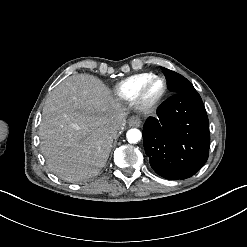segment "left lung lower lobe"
Instances as JSON below:
<instances>
[{"mask_svg":"<svg viewBox=\"0 0 247 247\" xmlns=\"http://www.w3.org/2000/svg\"><path fill=\"white\" fill-rule=\"evenodd\" d=\"M144 149L160 176L186 179L208 159L209 121L197 91L173 94L149 117L143 128Z\"/></svg>","mask_w":247,"mask_h":247,"instance_id":"1","label":"left lung lower lobe"}]
</instances>
